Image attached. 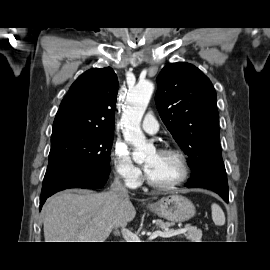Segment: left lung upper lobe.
Returning a JSON list of instances; mask_svg holds the SVG:
<instances>
[{"instance_id": "obj_1", "label": "left lung upper lobe", "mask_w": 270, "mask_h": 270, "mask_svg": "<svg viewBox=\"0 0 270 270\" xmlns=\"http://www.w3.org/2000/svg\"><path fill=\"white\" fill-rule=\"evenodd\" d=\"M155 102L164 124L189 156L191 178L224 166L216 92L207 76L185 62L170 63L157 77Z\"/></svg>"}]
</instances>
